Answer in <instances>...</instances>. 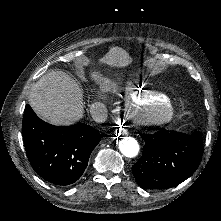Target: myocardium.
<instances>
[{
	"label": "myocardium",
	"instance_id": "obj_1",
	"mask_svg": "<svg viewBox=\"0 0 221 221\" xmlns=\"http://www.w3.org/2000/svg\"><path fill=\"white\" fill-rule=\"evenodd\" d=\"M147 118L153 124H162L168 118V109L162 103H153L147 109Z\"/></svg>",
	"mask_w": 221,
	"mask_h": 221
}]
</instances>
